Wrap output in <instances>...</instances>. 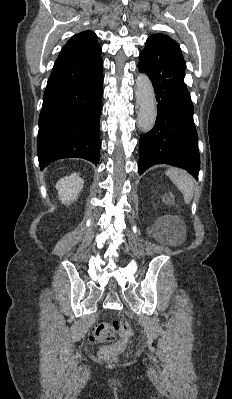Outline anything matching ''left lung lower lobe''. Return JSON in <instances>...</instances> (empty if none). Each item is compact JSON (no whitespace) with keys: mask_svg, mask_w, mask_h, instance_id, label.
I'll return each mask as SVG.
<instances>
[{"mask_svg":"<svg viewBox=\"0 0 232 399\" xmlns=\"http://www.w3.org/2000/svg\"><path fill=\"white\" fill-rule=\"evenodd\" d=\"M138 68L152 81L158 102L153 129L140 136L139 174L155 164H168L198 179V135L193 103L184 83L183 56L165 42L147 41Z\"/></svg>","mask_w":232,"mask_h":399,"instance_id":"1","label":"left lung lower lobe"}]
</instances>
